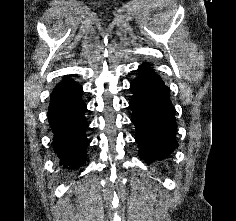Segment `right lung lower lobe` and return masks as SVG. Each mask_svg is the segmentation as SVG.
<instances>
[{
  "label": "right lung lower lobe",
  "instance_id": "1",
  "mask_svg": "<svg viewBox=\"0 0 236 221\" xmlns=\"http://www.w3.org/2000/svg\"><path fill=\"white\" fill-rule=\"evenodd\" d=\"M82 87L66 76L56 85L48 109L54 133V151L61 163L77 167L85 163L88 141L84 117L86 104L81 99Z\"/></svg>",
  "mask_w": 236,
  "mask_h": 221
}]
</instances>
